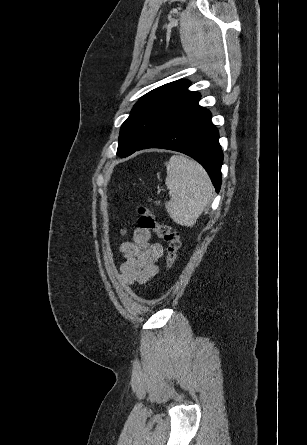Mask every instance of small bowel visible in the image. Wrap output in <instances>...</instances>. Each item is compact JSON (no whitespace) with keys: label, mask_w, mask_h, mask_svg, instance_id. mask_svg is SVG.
I'll return each mask as SVG.
<instances>
[{"label":"small bowel","mask_w":307,"mask_h":445,"mask_svg":"<svg viewBox=\"0 0 307 445\" xmlns=\"http://www.w3.org/2000/svg\"><path fill=\"white\" fill-rule=\"evenodd\" d=\"M122 233L125 234L126 230ZM120 252L124 260L120 263L119 270L126 284H145L157 275L163 246L153 241L150 231L137 227L132 241L121 243Z\"/></svg>","instance_id":"c3829d8e"}]
</instances>
